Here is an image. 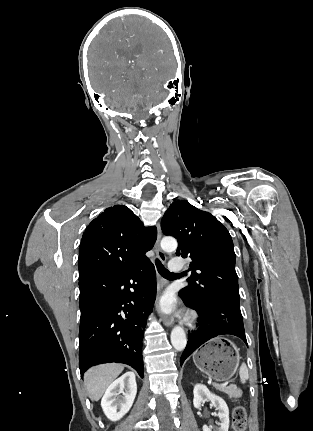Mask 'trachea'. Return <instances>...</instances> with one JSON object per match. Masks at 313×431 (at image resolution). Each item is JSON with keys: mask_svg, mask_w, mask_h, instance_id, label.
<instances>
[{"mask_svg": "<svg viewBox=\"0 0 313 431\" xmlns=\"http://www.w3.org/2000/svg\"><path fill=\"white\" fill-rule=\"evenodd\" d=\"M156 267H157V269H158V272L164 277V278H167V279H169V278H173V277H175V276H177L176 274H174V273H171V272H169L163 265H162V263L157 259L156 260Z\"/></svg>", "mask_w": 313, "mask_h": 431, "instance_id": "3493384b", "label": "trachea"}]
</instances>
